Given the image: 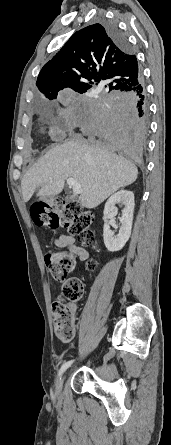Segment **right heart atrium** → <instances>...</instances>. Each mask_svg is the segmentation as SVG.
I'll use <instances>...</instances> for the list:
<instances>
[{"mask_svg":"<svg viewBox=\"0 0 171 445\" xmlns=\"http://www.w3.org/2000/svg\"><path fill=\"white\" fill-rule=\"evenodd\" d=\"M69 119H70V117L66 113L63 114L60 117L59 124L57 125V127L54 130V134L53 135L55 137L62 136L65 133V131H66V124L68 123Z\"/></svg>","mask_w":171,"mask_h":445,"instance_id":"obj_1","label":"right heart atrium"}]
</instances>
